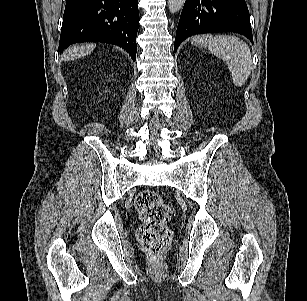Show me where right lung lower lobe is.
<instances>
[{
  "mask_svg": "<svg viewBox=\"0 0 307 301\" xmlns=\"http://www.w3.org/2000/svg\"><path fill=\"white\" fill-rule=\"evenodd\" d=\"M138 0H67L59 52L74 43L118 45L136 59L139 26Z\"/></svg>",
  "mask_w": 307,
  "mask_h": 301,
  "instance_id": "right-lung-lower-lobe-1",
  "label": "right lung lower lobe"
}]
</instances>
